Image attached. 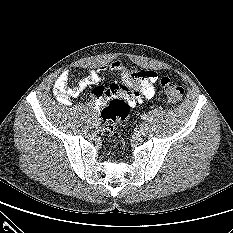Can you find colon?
Instances as JSON below:
<instances>
[{
  "label": "colon",
  "instance_id": "colon-1",
  "mask_svg": "<svg viewBox=\"0 0 233 233\" xmlns=\"http://www.w3.org/2000/svg\"><path fill=\"white\" fill-rule=\"evenodd\" d=\"M129 77L133 82L131 91L136 93L138 86L147 81L150 74L138 67H131L129 70ZM161 87L167 97V100L172 105H178L183 98V88L172 81L168 77H162L160 81ZM130 106L128 101L124 97H114L109 103L102 109V134L108 138L113 134L115 123L117 120L125 119Z\"/></svg>",
  "mask_w": 233,
  "mask_h": 233
}]
</instances>
